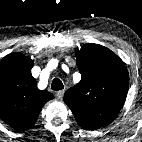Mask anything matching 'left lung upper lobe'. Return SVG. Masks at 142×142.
Wrapping results in <instances>:
<instances>
[{
	"label": "left lung upper lobe",
	"instance_id": "obj_1",
	"mask_svg": "<svg viewBox=\"0 0 142 142\" xmlns=\"http://www.w3.org/2000/svg\"><path fill=\"white\" fill-rule=\"evenodd\" d=\"M81 81L68 89L64 101L79 126L96 130L107 126L121 110L129 87L122 60L110 49L93 43L76 50Z\"/></svg>",
	"mask_w": 142,
	"mask_h": 142
}]
</instances>
